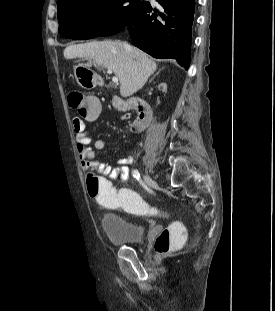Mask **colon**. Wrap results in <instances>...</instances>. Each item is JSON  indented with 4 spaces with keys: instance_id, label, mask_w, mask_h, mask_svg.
<instances>
[{
    "instance_id": "5ec220e1",
    "label": "colon",
    "mask_w": 275,
    "mask_h": 311,
    "mask_svg": "<svg viewBox=\"0 0 275 311\" xmlns=\"http://www.w3.org/2000/svg\"><path fill=\"white\" fill-rule=\"evenodd\" d=\"M68 100L70 106L79 111L80 121H95V117H99V113L102 112L98 97H84L79 92H72ZM87 185L89 195L95 202L121 207L135 214L147 212L163 214L140 198L138 190H117L111 178H105V175L90 174ZM183 238V226L179 222H172L157 235L154 242L155 252L159 255L167 254L180 246Z\"/></svg>"
}]
</instances>
